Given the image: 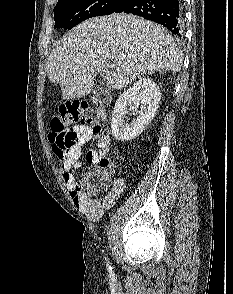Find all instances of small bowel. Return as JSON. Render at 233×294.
I'll list each match as a JSON object with an SVG mask.
<instances>
[{"instance_id":"1","label":"small bowel","mask_w":233,"mask_h":294,"mask_svg":"<svg viewBox=\"0 0 233 294\" xmlns=\"http://www.w3.org/2000/svg\"><path fill=\"white\" fill-rule=\"evenodd\" d=\"M75 134L74 145L67 152L66 157L61 160L60 172L66 186L71 191L75 205L91 220H98L104 212L113 206L125 189V181L121 178L115 179L109 186L108 191L100 198L83 196L77 191V183L72 173L81 167L80 157L82 147L90 142H96L98 150H90L86 154L87 162L97 164L99 159L108 154L112 145L109 137L95 135L92 128L88 126H75L72 128Z\"/></svg>"}]
</instances>
